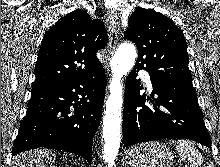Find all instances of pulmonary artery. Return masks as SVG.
Wrapping results in <instances>:
<instances>
[{"instance_id":"e3ab8cb5","label":"pulmonary artery","mask_w":220,"mask_h":167,"mask_svg":"<svg viewBox=\"0 0 220 167\" xmlns=\"http://www.w3.org/2000/svg\"><path fill=\"white\" fill-rule=\"evenodd\" d=\"M142 75L144 76V81L147 84L148 88L152 90V83L149 76H147L144 72L142 73Z\"/></svg>"}]
</instances>
